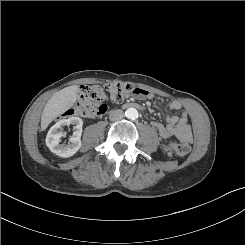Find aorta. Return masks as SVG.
<instances>
[{"mask_svg":"<svg viewBox=\"0 0 245 245\" xmlns=\"http://www.w3.org/2000/svg\"><path fill=\"white\" fill-rule=\"evenodd\" d=\"M125 115L129 119H136L138 117V111L135 108H128Z\"/></svg>","mask_w":245,"mask_h":245,"instance_id":"1","label":"aorta"}]
</instances>
